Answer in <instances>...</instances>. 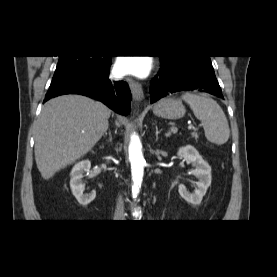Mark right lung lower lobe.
Segmentation results:
<instances>
[{"label": "right lung lower lobe", "instance_id": "right-lung-lower-lobe-1", "mask_svg": "<svg viewBox=\"0 0 277 277\" xmlns=\"http://www.w3.org/2000/svg\"><path fill=\"white\" fill-rule=\"evenodd\" d=\"M110 66L109 57V60L93 73L57 87H50L45 101L63 94H81L98 99L119 114H129L131 92L128 84L123 81H111Z\"/></svg>", "mask_w": 277, "mask_h": 277}]
</instances>
